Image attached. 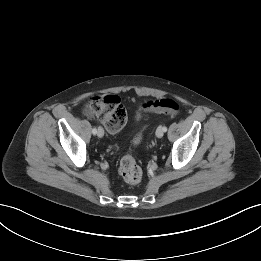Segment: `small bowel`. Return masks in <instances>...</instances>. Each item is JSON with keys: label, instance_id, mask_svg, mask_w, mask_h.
Instances as JSON below:
<instances>
[{"label": "small bowel", "instance_id": "1", "mask_svg": "<svg viewBox=\"0 0 261 261\" xmlns=\"http://www.w3.org/2000/svg\"><path fill=\"white\" fill-rule=\"evenodd\" d=\"M143 108H144L145 110L151 111V110L147 107V103L143 106Z\"/></svg>", "mask_w": 261, "mask_h": 261}]
</instances>
